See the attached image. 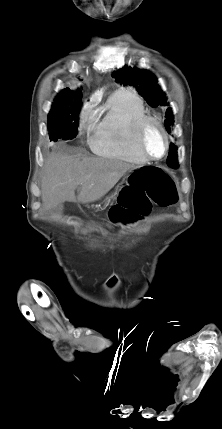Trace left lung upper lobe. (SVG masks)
Segmentation results:
<instances>
[{"label": "left lung upper lobe", "instance_id": "5c2ea615", "mask_svg": "<svg viewBox=\"0 0 222 429\" xmlns=\"http://www.w3.org/2000/svg\"><path fill=\"white\" fill-rule=\"evenodd\" d=\"M113 76H115L116 81L121 84L133 85L151 107L169 105L164 92L157 84V79L149 71L136 67H123L118 71H114ZM173 122V113L169 107L166 111V120L164 121L168 133L171 131L170 126L173 125ZM167 165L174 169L178 168L177 147L173 143L170 144Z\"/></svg>", "mask_w": 222, "mask_h": 429}]
</instances>
